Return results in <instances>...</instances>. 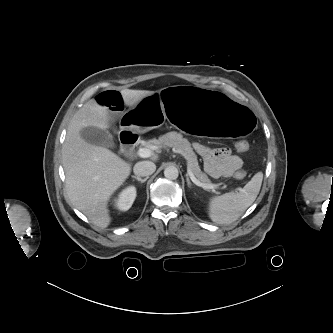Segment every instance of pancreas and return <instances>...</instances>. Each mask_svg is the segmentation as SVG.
<instances>
[{
	"instance_id": "pancreas-1",
	"label": "pancreas",
	"mask_w": 333,
	"mask_h": 333,
	"mask_svg": "<svg viewBox=\"0 0 333 333\" xmlns=\"http://www.w3.org/2000/svg\"><path fill=\"white\" fill-rule=\"evenodd\" d=\"M148 145L156 148L173 147L182 156H184L187 161V167L194 174V176L203 183H209L207 175L204 174L199 167L197 155L193 151L190 142L186 138H183L180 133L175 131L168 132L158 139L149 141Z\"/></svg>"
}]
</instances>
